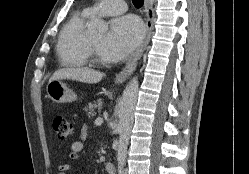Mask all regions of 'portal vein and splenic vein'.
<instances>
[{
  "label": "portal vein and splenic vein",
  "instance_id": "18ae733b",
  "mask_svg": "<svg viewBox=\"0 0 249 174\" xmlns=\"http://www.w3.org/2000/svg\"><path fill=\"white\" fill-rule=\"evenodd\" d=\"M102 123H103V118L101 117L96 118L95 125H101Z\"/></svg>",
  "mask_w": 249,
  "mask_h": 174
}]
</instances>
